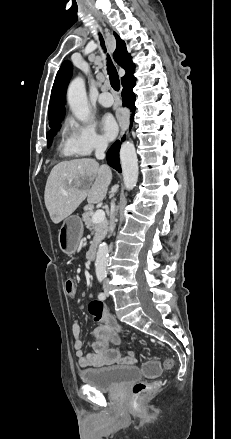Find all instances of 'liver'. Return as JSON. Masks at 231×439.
<instances>
[{"mask_svg":"<svg viewBox=\"0 0 231 439\" xmlns=\"http://www.w3.org/2000/svg\"><path fill=\"white\" fill-rule=\"evenodd\" d=\"M112 180L111 169L95 159L62 161L51 170L44 193L45 206L54 224L70 216L87 198L100 203Z\"/></svg>","mask_w":231,"mask_h":439,"instance_id":"6515ba94","label":"liver"}]
</instances>
